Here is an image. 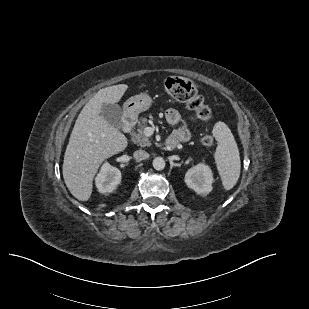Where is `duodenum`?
<instances>
[{"label": "duodenum", "instance_id": "obj_1", "mask_svg": "<svg viewBox=\"0 0 309 309\" xmlns=\"http://www.w3.org/2000/svg\"><path fill=\"white\" fill-rule=\"evenodd\" d=\"M135 122H136V119L133 114H130V113L125 114L123 118V131L125 133H129L134 127ZM177 144H178V141L170 137L164 142L163 148L165 150H173Z\"/></svg>", "mask_w": 309, "mask_h": 309}]
</instances>
